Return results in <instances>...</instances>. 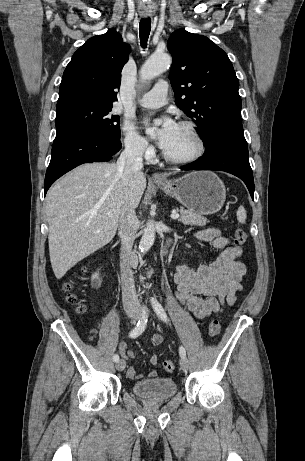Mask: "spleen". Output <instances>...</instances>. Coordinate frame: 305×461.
<instances>
[{"label":"spleen","instance_id":"3e777b00","mask_svg":"<svg viewBox=\"0 0 305 461\" xmlns=\"http://www.w3.org/2000/svg\"><path fill=\"white\" fill-rule=\"evenodd\" d=\"M237 220L239 223H245L246 222V218H247V214H246V210L243 206H240L237 210Z\"/></svg>","mask_w":305,"mask_h":461}]
</instances>
